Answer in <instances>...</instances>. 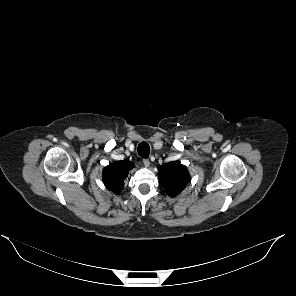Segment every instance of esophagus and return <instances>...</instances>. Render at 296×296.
I'll return each mask as SVG.
<instances>
[{
  "instance_id": "34e87169",
  "label": "esophagus",
  "mask_w": 296,
  "mask_h": 296,
  "mask_svg": "<svg viewBox=\"0 0 296 296\" xmlns=\"http://www.w3.org/2000/svg\"><path fill=\"white\" fill-rule=\"evenodd\" d=\"M143 164L145 167H148L150 165V161L148 159H143Z\"/></svg>"
}]
</instances>
